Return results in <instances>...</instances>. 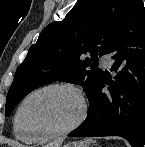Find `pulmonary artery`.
I'll return each instance as SVG.
<instances>
[{
  "label": "pulmonary artery",
  "mask_w": 145,
  "mask_h": 147,
  "mask_svg": "<svg viewBox=\"0 0 145 147\" xmlns=\"http://www.w3.org/2000/svg\"><path fill=\"white\" fill-rule=\"evenodd\" d=\"M100 60L105 67L109 68L111 66L112 58L109 54L102 55Z\"/></svg>",
  "instance_id": "e3ab8cb5"
}]
</instances>
